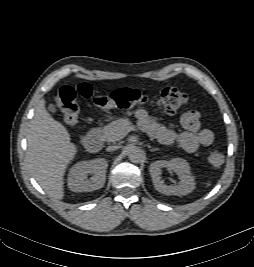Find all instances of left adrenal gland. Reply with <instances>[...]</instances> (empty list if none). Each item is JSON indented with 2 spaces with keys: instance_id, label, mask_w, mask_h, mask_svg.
<instances>
[{
  "instance_id": "1",
  "label": "left adrenal gland",
  "mask_w": 254,
  "mask_h": 267,
  "mask_svg": "<svg viewBox=\"0 0 254 267\" xmlns=\"http://www.w3.org/2000/svg\"><path fill=\"white\" fill-rule=\"evenodd\" d=\"M149 148H150V151H151V152H154V151L159 150V148H151L150 146H149Z\"/></svg>"
}]
</instances>
